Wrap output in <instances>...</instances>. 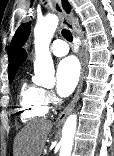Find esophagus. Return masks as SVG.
Segmentation results:
<instances>
[{"mask_svg":"<svg viewBox=\"0 0 114 156\" xmlns=\"http://www.w3.org/2000/svg\"><path fill=\"white\" fill-rule=\"evenodd\" d=\"M50 1L55 11L59 14L62 25L68 28L71 32L75 34V27H74V24L72 23L71 16L67 14L66 11L63 9L61 0H50ZM75 42H76V46L78 49V56H79V60L81 64L80 79H79L78 86H77L73 99L63 109V111L59 114L58 118L56 119L57 126L61 125L65 121L66 117L73 110L75 104L77 103L79 99L80 92H81L82 85H83V78H84V71H85L84 51L76 34H75Z\"/></svg>","mask_w":114,"mask_h":156,"instance_id":"1","label":"esophagus"}]
</instances>
